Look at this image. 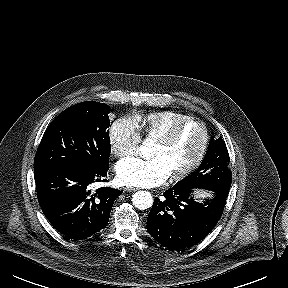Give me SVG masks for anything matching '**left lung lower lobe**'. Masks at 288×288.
<instances>
[{"label":"left lung lower lobe","instance_id":"obj_1","mask_svg":"<svg viewBox=\"0 0 288 288\" xmlns=\"http://www.w3.org/2000/svg\"><path fill=\"white\" fill-rule=\"evenodd\" d=\"M202 187L175 184L154 199L147 219L149 234L170 250H183L204 239L219 221L227 195L214 192L212 199L196 202L193 189ZM209 190V189H208Z\"/></svg>","mask_w":288,"mask_h":288}]
</instances>
